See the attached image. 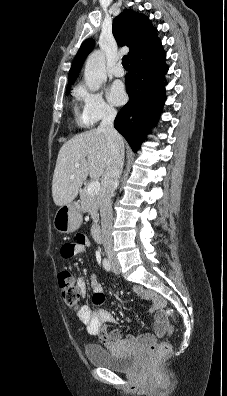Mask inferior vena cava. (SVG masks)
Here are the masks:
<instances>
[{
	"mask_svg": "<svg viewBox=\"0 0 227 396\" xmlns=\"http://www.w3.org/2000/svg\"><path fill=\"white\" fill-rule=\"evenodd\" d=\"M117 115L115 109H107L98 130L106 136L109 149V159L102 176V189L100 195V215L103 236V246L108 256L114 254L112 239V196L119 184L123 168L124 149L121 146V136L115 130L113 122Z\"/></svg>",
	"mask_w": 227,
	"mask_h": 396,
	"instance_id": "obj_1",
	"label": "inferior vena cava"
}]
</instances>
